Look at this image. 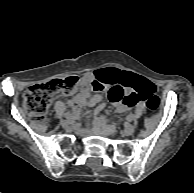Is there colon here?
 Returning a JSON list of instances; mask_svg holds the SVG:
<instances>
[{"label":"colon","instance_id":"1","mask_svg":"<svg viewBox=\"0 0 194 193\" xmlns=\"http://www.w3.org/2000/svg\"><path fill=\"white\" fill-rule=\"evenodd\" d=\"M138 78L132 74L122 73L118 79L105 80L96 91L107 89L109 99L114 103H127L130 96L125 94L124 88L136 85ZM78 85V78L68 76L54 79L46 83L31 86L23 95V107L37 123L46 122V113L56 94H71ZM146 106L150 111H156L160 106V99L150 91L147 93Z\"/></svg>","mask_w":194,"mask_h":193}]
</instances>
